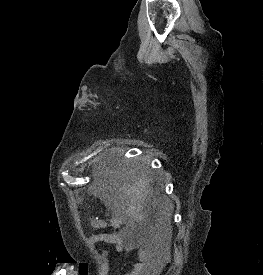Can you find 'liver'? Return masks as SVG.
<instances>
[{
    "instance_id": "6515ba94",
    "label": "liver",
    "mask_w": 263,
    "mask_h": 275,
    "mask_svg": "<svg viewBox=\"0 0 263 275\" xmlns=\"http://www.w3.org/2000/svg\"><path fill=\"white\" fill-rule=\"evenodd\" d=\"M150 180L146 175L137 177L134 182L118 186L116 195H102L106 205L111 206L116 212H122L123 219L133 222H146L149 206L155 205L161 213V220L170 221L173 206L168 200L152 201L150 198Z\"/></svg>"
}]
</instances>
